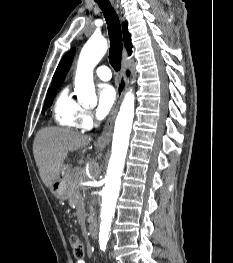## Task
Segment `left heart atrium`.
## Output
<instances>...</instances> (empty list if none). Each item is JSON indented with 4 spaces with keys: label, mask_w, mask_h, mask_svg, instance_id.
<instances>
[{
    "label": "left heart atrium",
    "mask_w": 233,
    "mask_h": 263,
    "mask_svg": "<svg viewBox=\"0 0 233 263\" xmlns=\"http://www.w3.org/2000/svg\"><path fill=\"white\" fill-rule=\"evenodd\" d=\"M115 102V89L111 85H102L98 91V106L96 109V117L98 119L105 118L113 109Z\"/></svg>",
    "instance_id": "39dd6f15"
}]
</instances>
